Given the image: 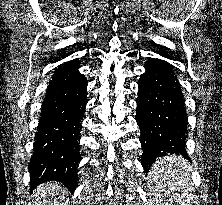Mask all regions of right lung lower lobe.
<instances>
[{"mask_svg":"<svg viewBox=\"0 0 222 205\" xmlns=\"http://www.w3.org/2000/svg\"><path fill=\"white\" fill-rule=\"evenodd\" d=\"M87 80L78 68L56 72L47 89L35 135L29 171L31 190L59 181L74 191L80 161L81 122L87 103Z\"/></svg>","mask_w":222,"mask_h":205,"instance_id":"right-lung-lower-lobe-1","label":"right lung lower lobe"}]
</instances>
